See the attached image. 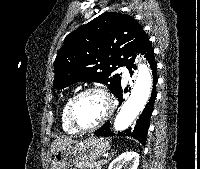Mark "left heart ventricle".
I'll return each mask as SVG.
<instances>
[{"instance_id": "left-heart-ventricle-1", "label": "left heart ventricle", "mask_w": 200, "mask_h": 169, "mask_svg": "<svg viewBox=\"0 0 200 169\" xmlns=\"http://www.w3.org/2000/svg\"><path fill=\"white\" fill-rule=\"evenodd\" d=\"M106 102L98 93H88L82 96L74 108V117L82 128L95 125L104 115Z\"/></svg>"}]
</instances>
